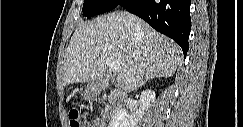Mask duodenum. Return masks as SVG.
Returning a JSON list of instances; mask_svg holds the SVG:
<instances>
[{"label": "duodenum", "instance_id": "obj_1", "mask_svg": "<svg viewBox=\"0 0 243 127\" xmlns=\"http://www.w3.org/2000/svg\"><path fill=\"white\" fill-rule=\"evenodd\" d=\"M108 78L103 77L97 84V88H106ZM127 102V95L120 89L114 88L109 96V117L115 115L121 107Z\"/></svg>", "mask_w": 243, "mask_h": 127}]
</instances>
